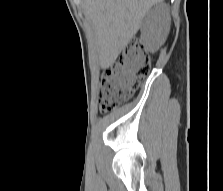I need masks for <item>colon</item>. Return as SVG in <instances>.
I'll return each instance as SVG.
<instances>
[{
	"label": "colon",
	"mask_w": 223,
	"mask_h": 191,
	"mask_svg": "<svg viewBox=\"0 0 223 191\" xmlns=\"http://www.w3.org/2000/svg\"><path fill=\"white\" fill-rule=\"evenodd\" d=\"M151 58L145 48L132 41L103 77L99 88L102 112L111 111L127 101L149 75Z\"/></svg>",
	"instance_id": "obj_1"
}]
</instances>
